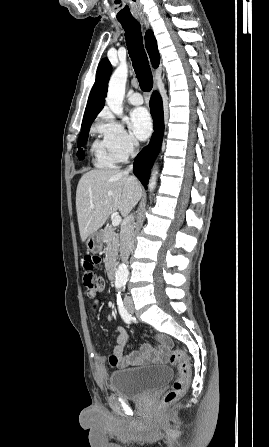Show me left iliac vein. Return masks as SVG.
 Masks as SVG:
<instances>
[{
	"label": "left iliac vein",
	"instance_id": "left-iliac-vein-1",
	"mask_svg": "<svg viewBox=\"0 0 269 447\" xmlns=\"http://www.w3.org/2000/svg\"><path fill=\"white\" fill-rule=\"evenodd\" d=\"M125 307L130 313L134 311L133 303L130 297L125 298Z\"/></svg>",
	"mask_w": 269,
	"mask_h": 447
}]
</instances>
